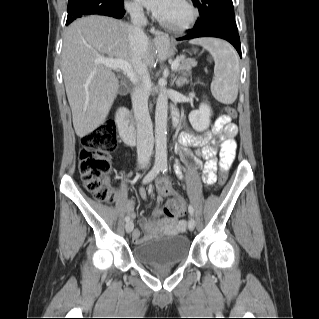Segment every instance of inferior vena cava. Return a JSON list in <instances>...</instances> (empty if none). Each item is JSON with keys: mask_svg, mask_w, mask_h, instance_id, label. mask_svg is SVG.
Listing matches in <instances>:
<instances>
[{"mask_svg": "<svg viewBox=\"0 0 319 319\" xmlns=\"http://www.w3.org/2000/svg\"><path fill=\"white\" fill-rule=\"evenodd\" d=\"M131 17L129 26V43L132 51V65L137 75L142 79V84L133 89L131 94L134 116L137 123V161L141 167L149 163L153 151V128L148 111V93L145 84L149 79L147 64V37L143 31L146 18L140 4L134 3L127 7Z\"/></svg>", "mask_w": 319, "mask_h": 319, "instance_id": "obj_1", "label": "inferior vena cava"}]
</instances>
